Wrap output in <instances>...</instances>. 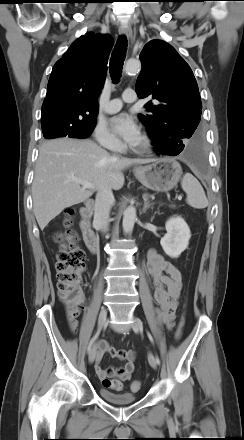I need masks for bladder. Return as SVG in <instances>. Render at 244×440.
Wrapping results in <instances>:
<instances>
[{"instance_id": "bladder-1", "label": "bladder", "mask_w": 244, "mask_h": 440, "mask_svg": "<svg viewBox=\"0 0 244 440\" xmlns=\"http://www.w3.org/2000/svg\"><path fill=\"white\" fill-rule=\"evenodd\" d=\"M100 397L112 404H131L137 401V394L132 392H113L106 387L99 388Z\"/></svg>"}]
</instances>
